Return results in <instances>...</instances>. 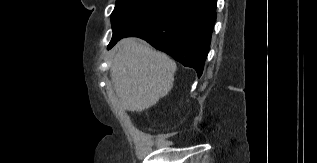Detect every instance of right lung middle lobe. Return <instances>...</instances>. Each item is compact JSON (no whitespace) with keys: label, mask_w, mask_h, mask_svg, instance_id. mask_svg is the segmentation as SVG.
<instances>
[{"label":"right lung middle lobe","mask_w":317,"mask_h":163,"mask_svg":"<svg viewBox=\"0 0 317 163\" xmlns=\"http://www.w3.org/2000/svg\"><path fill=\"white\" fill-rule=\"evenodd\" d=\"M174 0H117L111 14V42L152 21Z\"/></svg>","instance_id":"right-lung-middle-lobe-1"}]
</instances>
